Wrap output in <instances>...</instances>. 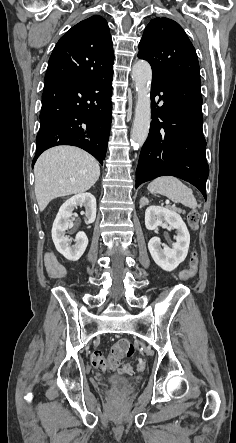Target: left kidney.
Instances as JSON below:
<instances>
[{"label":"left kidney","instance_id":"obj_1","mask_svg":"<svg viewBox=\"0 0 236 443\" xmlns=\"http://www.w3.org/2000/svg\"><path fill=\"white\" fill-rule=\"evenodd\" d=\"M169 226L176 229V242L172 248L161 244L159 237H153L148 243L149 252L155 263L165 271H173L182 263L188 253L190 234L181 216L175 211L160 206H149L145 211V226L155 230L158 226ZM163 247V248H162Z\"/></svg>","mask_w":236,"mask_h":443}]
</instances>
